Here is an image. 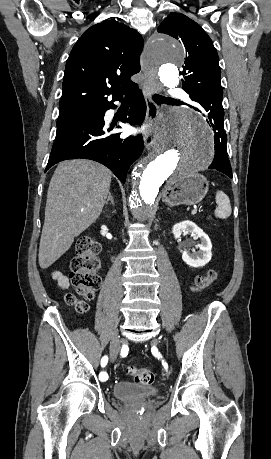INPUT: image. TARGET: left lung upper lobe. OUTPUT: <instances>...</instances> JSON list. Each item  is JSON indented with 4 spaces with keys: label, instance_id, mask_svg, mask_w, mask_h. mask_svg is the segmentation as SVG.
Listing matches in <instances>:
<instances>
[{
    "label": "left lung upper lobe",
    "instance_id": "obj_1",
    "mask_svg": "<svg viewBox=\"0 0 271 459\" xmlns=\"http://www.w3.org/2000/svg\"><path fill=\"white\" fill-rule=\"evenodd\" d=\"M184 45L186 58L182 88L191 99L205 96L204 110L224 113L219 58L212 40L193 20L181 13H171L158 27Z\"/></svg>",
    "mask_w": 271,
    "mask_h": 459
}]
</instances>
